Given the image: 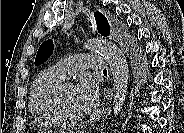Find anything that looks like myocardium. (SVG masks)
Masks as SVG:
<instances>
[{
	"label": "myocardium",
	"instance_id": "obj_1",
	"mask_svg": "<svg viewBox=\"0 0 184 133\" xmlns=\"http://www.w3.org/2000/svg\"><path fill=\"white\" fill-rule=\"evenodd\" d=\"M68 83H61L60 86L57 88L56 93H55V98H54V103H55V108L64 122H69V123H77L83 119V116H73L70 115L63 104V90L65 85Z\"/></svg>",
	"mask_w": 184,
	"mask_h": 133
}]
</instances>
